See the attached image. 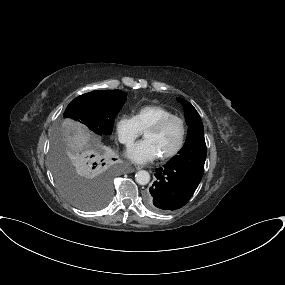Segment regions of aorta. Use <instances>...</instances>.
<instances>
[{
    "instance_id": "aorta-1",
    "label": "aorta",
    "mask_w": 285,
    "mask_h": 285,
    "mask_svg": "<svg viewBox=\"0 0 285 285\" xmlns=\"http://www.w3.org/2000/svg\"><path fill=\"white\" fill-rule=\"evenodd\" d=\"M135 180L139 185H146L150 181V174L145 170H140L135 174Z\"/></svg>"
}]
</instances>
